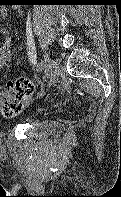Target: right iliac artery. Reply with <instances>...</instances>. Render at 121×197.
<instances>
[{
	"instance_id": "obj_1",
	"label": "right iliac artery",
	"mask_w": 121,
	"mask_h": 197,
	"mask_svg": "<svg viewBox=\"0 0 121 197\" xmlns=\"http://www.w3.org/2000/svg\"><path fill=\"white\" fill-rule=\"evenodd\" d=\"M37 71H42L44 69V63L39 62L36 66Z\"/></svg>"
}]
</instances>
